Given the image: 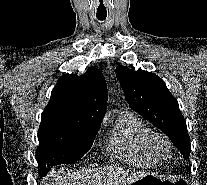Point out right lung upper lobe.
<instances>
[{
	"label": "right lung upper lobe",
	"mask_w": 207,
	"mask_h": 185,
	"mask_svg": "<svg viewBox=\"0 0 207 185\" xmlns=\"http://www.w3.org/2000/svg\"><path fill=\"white\" fill-rule=\"evenodd\" d=\"M107 107V86L101 71L90 67L85 74L62 75L42 113V120H63L100 127Z\"/></svg>",
	"instance_id": "1"
}]
</instances>
